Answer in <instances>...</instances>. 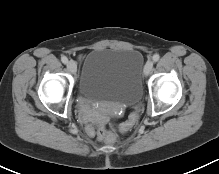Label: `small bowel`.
I'll use <instances>...</instances> for the list:
<instances>
[{
    "label": "small bowel",
    "mask_w": 219,
    "mask_h": 174,
    "mask_svg": "<svg viewBox=\"0 0 219 174\" xmlns=\"http://www.w3.org/2000/svg\"><path fill=\"white\" fill-rule=\"evenodd\" d=\"M88 115L91 117L92 116V114H91V111L90 110H88Z\"/></svg>",
    "instance_id": "obj_1"
}]
</instances>
